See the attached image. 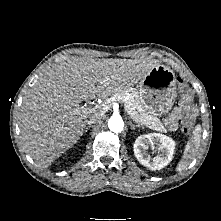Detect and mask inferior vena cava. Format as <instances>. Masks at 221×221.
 <instances>
[{"label":"inferior vena cava","instance_id":"1","mask_svg":"<svg viewBox=\"0 0 221 221\" xmlns=\"http://www.w3.org/2000/svg\"><path fill=\"white\" fill-rule=\"evenodd\" d=\"M101 118L99 115L93 116L90 118V120L87 121V124L91 125L94 124L96 122H100Z\"/></svg>","mask_w":221,"mask_h":221}]
</instances>
